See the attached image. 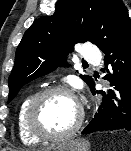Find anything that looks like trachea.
Instances as JSON below:
<instances>
[{
	"instance_id": "3493384b",
	"label": "trachea",
	"mask_w": 131,
	"mask_h": 151,
	"mask_svg": "<svg viewBox=\"0 0 131 151\" xmlns=\"http://www.w3.org/2000/svg\"><path fill=\"white\" fill-rule=\"evenodd\" d=\"M83 65H87V63H86V62H83Z\"/></svg>"
}]
</instances>
